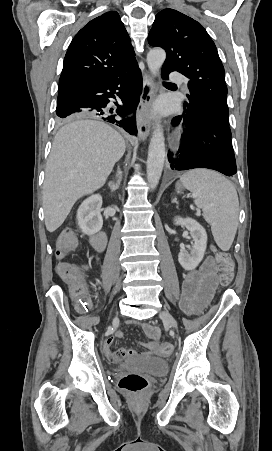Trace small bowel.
I'll return each mask as SVG.
<instances>
[{
  "instance_id": "c3829d8e",
  "label": "small bowel",
  "mask_w": 272,
  "mask_h": 451,
  "mask_svg": "<svg viewBox=\"0 0 272 451\" xmlns=\"http://www.w3.org/2000/svg\"><path fill=\"white\" fill-rule=\"evenodd\" d=\"M95 261H98L97 257L95 258ZM215 271L216 259L212 256H208L205 258L199 269L190 270L184 273L181 306L185 312L189 314H196L203 308L207 300L204 295L205 279L210 275H214ZM143 330L152 340L149 343L141 344V346L144 349L155 352V347L159 342L158 330L149 325H143ZM113 342L114 340L112 338H108L103 344V352L109 361L110 352H125L126 357L137 353L136 351L127 348H120L116 351H112L111 347ZM110 362L118 363L116 361Z\"/></svg>"
}]
</instances>
